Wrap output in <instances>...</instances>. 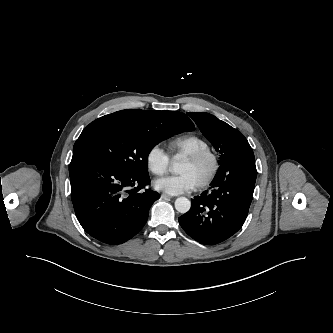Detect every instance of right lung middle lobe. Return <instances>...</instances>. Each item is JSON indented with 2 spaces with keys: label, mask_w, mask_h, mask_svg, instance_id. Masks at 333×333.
<instances>
[{
  "label": "right lung middle lobe",
  "mask_w": 333,
  "mask_h": 333,
  "mask_svg": "<svg viewBox=\"0 0 333 333\" xmlns=\"http://www.w3.org/2000/svg\"><path fill=\"white\" fill-rule=\"evenodd\" d=\"M183 132L179 128L149 129L128 122L95 120L81 133L73 152L94 154L126 173L148 175V155L160 141Z\"/></svg>",
  "instance_id": "dd1d6c3e"
}]
</instances>
